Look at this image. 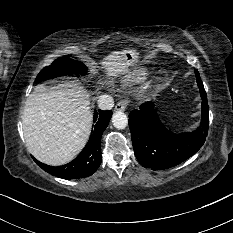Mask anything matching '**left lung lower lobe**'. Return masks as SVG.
<instances>
[{
    "mask_svg": "<svg viewBox=\"0 0 233 233\" xmlns=\"http://www.w3.org/2000/svg\"><path fill=\"white\" fill-rule=\"evenodd\" d=\"M202 98L201 127L190 133L173 134L160 122L151 102L129 114L133 149L138 161L153 169L162 170L178 165L194 155L204 144L209 125L206 92L198 71H195Z\"/></svg>",
    "mask_w": 233,
    "mask_h": 233,
    "instance_id": "obj_1",
    "label": "left lung lower lobe"
}]
</instances>
